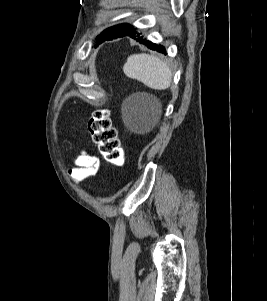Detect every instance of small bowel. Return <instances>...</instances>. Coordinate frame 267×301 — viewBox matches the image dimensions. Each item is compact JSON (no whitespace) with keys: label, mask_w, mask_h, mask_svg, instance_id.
Instances as JSON below:
<instances>
[{"label":"small bowel","mask_w":267,"mask_h":301,"mask_svg":"<svg viewBox=\"0 0 267 301\" xmlns=\"http://www.w3.org/2000/svg\"><path fill=\"white\" fill-rule=\"evenodd\" d=\"M99 168V158L85 150H82L76 157L74 166L70 169L69 174L75 182H82L95 176L98 173Z\"/></svg>","instance_id":"1"}]
</instances>
